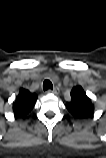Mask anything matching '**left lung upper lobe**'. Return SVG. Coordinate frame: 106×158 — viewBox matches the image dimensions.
Segmentation results:
<instances>
[{
    "instance_id": "left-lung-upper-lobe-1",
    "label": "left lung upper lobe",
    "mask_w": 106,
    "mask_h": 158,
    "mask_svg": "<svg viewBox=\"0 0 106 158\" xmlns=\"http://www.w3.org/2000/svg\"><path fill=\"white\" fill-rule=\"evenodd\" d=\"M66 107L73 116L80 119L92 117L94 113V105L81 86L72 89L71 101L66 103Z\"/></svg>"
}]
</instances>
